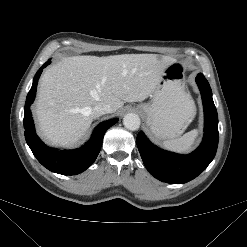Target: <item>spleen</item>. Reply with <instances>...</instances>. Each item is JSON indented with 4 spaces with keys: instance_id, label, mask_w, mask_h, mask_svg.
Segmentation results:
<instances>
[{
    "instance_id": "spleen-1",
    "label": "spleen",
    "mask_w": 247,
    "mask_h": 247,
    "mask_svg": "<svg viewBox=\"0 0 247 247\" xmlns=\"http://www.w3.org/2000/svg\"><path fill=\"white\" fill-rule=\"evenodd\" d=\"M188 102L193 105V102L192 100H190V98H188ZM197 137L198 130L194 129L190 132L185 133L179 138L164 141L163 146L171 151L184 153L192 148Z\"/></svg>"
}]
</instances>
